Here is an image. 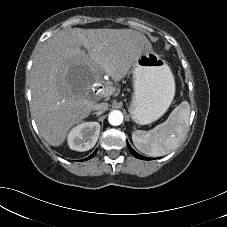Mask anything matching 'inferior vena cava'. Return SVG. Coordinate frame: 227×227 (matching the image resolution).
Segmentation results:
<instances>
[{"label":"inferior vena cava","instance_id":"602c4592","mask_svg":"<svg viewBox=\"0 0 227 227\" xmlns=\"http://www.w3.org/2000/svg\"><path fill=\"white\" fill-rule=\"evenodd\" d=\"M108 109V103L106 102H103V103H99V104H95L93 106V110H96L98 112H104Z\"/></svg>","mask_w":227,"mask_h":227}]
</instances>
